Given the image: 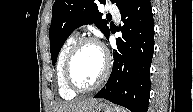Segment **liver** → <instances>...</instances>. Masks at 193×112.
I'll use <instances>...</instances> for the list:
<instances>
[{
	"instance_id": "liver-1",
	"label": "liver",
	"mask_w": 193,
	"mask_h": 112,
	"mask_svg": "<svg viewBox=\"0 0 193 112\" xmlns=\"http://www.w3.org/2000/svg\"><path fill=\"white\" fill-rule=\"evenodd\" d=\"M97 101L96 99H89L63 102L56 106L55 112H86Z\"/></svg>"
}]
</instances>
